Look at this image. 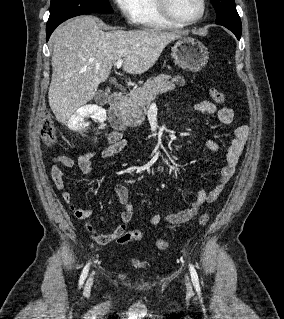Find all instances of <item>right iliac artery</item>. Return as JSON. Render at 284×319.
Instances as JSON below:
<instances>
[{
  "mask_svg": "<svg viewBox=\"0 0 284 319\" xmlns=\"http://www.w3.org/2000/svg\"><path fill=\"white\" fill-rule=\"evenodd\" d=\"M89 265H90V263H88V264L84 267V269H83V271H82V274H81L80 280H79V286H81V285L84 283V280H85V278H86V276H87V274H88V271H89Z\"/></svg>",
  "mask_w": 284,
  "mask_h": 319,
  "instance_id": "1",
  "label": "right iliac artery"
}]
</instances>
